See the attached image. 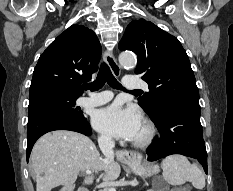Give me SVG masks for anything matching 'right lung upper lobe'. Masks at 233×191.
Here are the masks:
<instances>
[{
  "label": "right lung upper lobe",
  "instance_id": "right-lung-upper-lobe-1",
  "mask_svg": "<svg viewBox=\"0 0 233 191\" xmlns=\"http://www.w3.org/2000/svg\"><path fill=\"white\" fill-rule=\"evenodd\" d=\"M101 45L89 28L74 24L61 33L39 57L29 98L44 92L79 97L81 83L98 70Z\"/></svg>",
  "mask_w": 233,
  "mask_h": 191
}]
</instances>
